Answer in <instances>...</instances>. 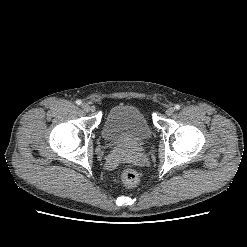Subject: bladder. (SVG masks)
Returning a JSON list of instances; mask_svg holds the SVG:
<instances>
[{
  "mask_svg": "<svg viewBox=\"0 0 247 247\" xmlns=\"http://www.w3.org/2000/svg\"><path fill=\"white\" fill-rule=\"evenodd\" d=\"M102 136L115 145L136 147L151 138L152 129L138 108L122 104L114 106L107 113L102 125Z\"/></svg>",
  "mask_w": 247,
  "mask_h": 247,
  "instance_id": "31cf9c89",
  "label": "bladder"
}]
</instances>
